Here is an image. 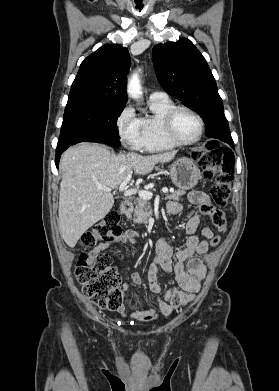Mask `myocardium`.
<instances>
[{
    "mask_svg": "<svg viewBox=\"0 0 279 391\" xmlns=\"http://www.w3.org/2000/svg\"><path fill=\"white\" fill-rule=\"evenodd\" d=\"M181 110H185L191 113L199 123V133L197 137L191 141H182L175 134L174 120L177 113ZM163 126L167 139L176 146H189L197 143L201 139L205 129L204 120L201 115L196 110L187 105H173L163 117Z\"/></svg>",
    "mask_w": 279,
    "mask_h": 391,
    "instance_id": "1",
    "label": "myocardium"
}]
</instances>
